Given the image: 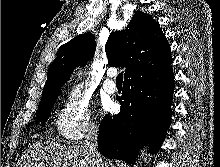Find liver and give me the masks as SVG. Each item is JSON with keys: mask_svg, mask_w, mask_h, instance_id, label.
I'll use <instances>...</instances> for the list:
<instances>
[{"mask_svg": "<svg viewBox=\"0 0 220 167\" xmlns=\"http://www.w3.org/2000/svg\"><path fill=\"white\" fill-rule=\"evenodd\" d=\"M16 167H96V165L84 147L40 141L30 146Z\"/></svg>", "mask_w": 220, "mask_h": 167, "instance_id": "obj_1", "label": "liver"}]
</instances>
